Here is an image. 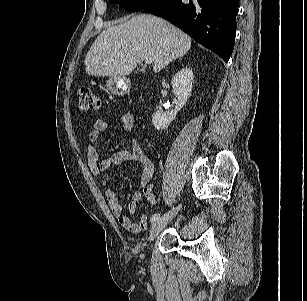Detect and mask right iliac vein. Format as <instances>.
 I'll list each match as a JSON object with an SVG mask.
<instances>
[{
	"instance_id": "obj_1",
	"label": "right iliac vein",
	"mask_w": 307,
	"mask_h": 301,
	"mask_svg": "<svg viewBox=\"0 0 307 301\" xmlns=\"http://www.w3.org/2000/svg\"><path fill=\"white\" fill-rule=\"evenodd\" d=\"M177 212H178V208L166 213L165 215H163L161 218H159L156 222L152 224V227L149 233L150 241L156 238V236L160 233V231L176 216Z\"/></svg>"
}]
</instances>
